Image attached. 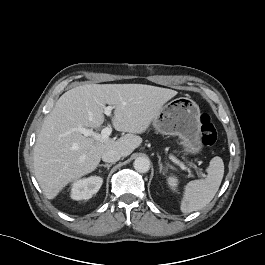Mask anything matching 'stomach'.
I'll use <instances>...</instances> for the list:
<instances>
[{
	"mask_svg": "<svg viewBox=\"0 0 265 265\" xmlns=\"http://www.w3.org/2000/svg\"><path fill=\"white\" fill-rule=\"evenodd\" d=\"M200 116L196 102L188 97H179L162 106L153 126L161 134L178 136L186 152L197 154L203 147Z\"/></svg>",
	"mask_w": 265,
	"mask_h": 265,
	"instance_id": "obj_1",
	"label": "stomach"
}]
</instances>
